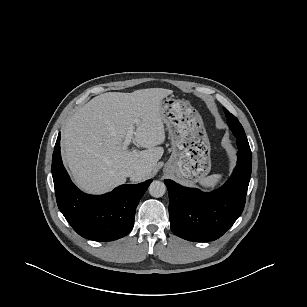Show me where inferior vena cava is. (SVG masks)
<instances>
[{
	"mask_svg": "<svg viewBox=\"0 0 307 307\" xmlns=\"http://www.w3.org/2000/svg\"><path fill=\"white\" fill-rule=\"evenodd\" d=\"M139 174V171H137V170H135V169H133V168H128V169H126L125 171H124V175L126 176V177H130V178H132V177H134V176H136V175H138Z\"/></svg>",
	"mask_w": 307,
	"mask_h": 307,
	"instance_id": "602c4592",
	"label": "inferior vena cava"
}]
</instances>
